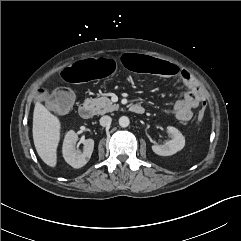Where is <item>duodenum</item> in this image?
Segmentation results:
<instances>
[{
	"mask_svg": "<svg viewBox=\"0 0 241 241\" xmlns=\"http://www.w3.org/2000/svg\"><path fill=\"white\" fill-rule=\"evenodd\" d=\"M130 111L135 114H143L145 111V108L140 104H132L130 106ZM79 115L83 119H89L92 116V106L89 102H83L79 106Z\"/></svg>",
	"mask_w": 241,
	"mask_h": 241,
	"instance_id": "obj_1",
	"label": "duodenum"
}]
</instances>
